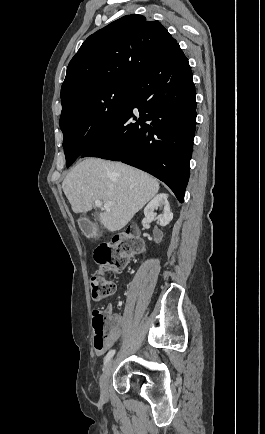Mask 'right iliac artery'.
I'll return each mask as SVG.
<instances>
[{
  "mask_svg": "<svg viewBox=\"0 0 265 434\" xmlns=\"http://www.w3.org/2000/svg\"><path fill=\"white\" fill-rule=\"evenodd\" d=\"M115 352H116V350L115 349H112V350H110L108 353H107V355L105 356V358H104V366H106L107 365V363L110 361V359L113 357V355L115 354Z\"/></svg>",
  "mask_w": 265,
  "mask_h": 434,
  "instance_id": "obj_1",
  "label": "right iliac artery"
}]
</instances>
